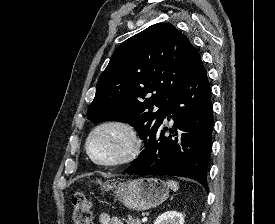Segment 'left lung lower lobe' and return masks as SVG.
<instances>
[{"label":"left lung lower lobe","mask_w":275,"mask_h":224,"mask_svg":"<svg viewBox=\"0 0 275 224\" xmlns=\"http://www.w3.org/2000/svg\"><path fill=\"white\" fill-rule=\"evenodd\" d=\"M169 114L174 120L173 128L169 130L172 135H164L168 128L162 122L149 135L144 150L125 172L190 177L199 181L208 191L213 108L204 66L192 74L171 97L165 117Z\"/></svg>","instance_id":"left-lung-lower-lobe-1"}]
</instances>
